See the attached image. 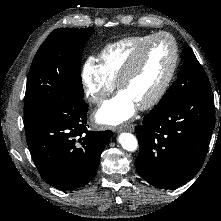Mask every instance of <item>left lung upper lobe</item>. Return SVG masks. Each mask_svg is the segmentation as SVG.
Segmentation results:
<instances>
[{"mask_svg": "<svg viewBox=\"0 0 221 221\" xmlns=\"http://www.w3.org/2000/svg\"><path fill=\"white\" fill-rule=\"evenodd\" d=\"M183 65L177 80L172 84L160 102L187 96L199 91H211L210 82L193 51L185 45L182 53Z\"/></svg>", "mask_w": 221, "mask_h": 221, "instance_id": "1", "label": "left lung upper lobe"}]
</instances>
